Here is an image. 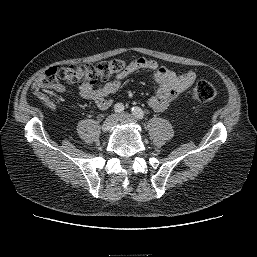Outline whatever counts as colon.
<instances>
[{
    "label": "colon",
    "mask_w": 257,
    "mask_h": 257,
    "mask_svg": "<svg viewBox=\"0 0 257 257\" xmlns=\"http://www.w3.org/2000/svg\"><path fill=\"white\" fill-rule=\"evenodd\" d=\"M129 64L121 59H113L98 64L49 67L38 78L35 84L36 92L41 99L46 100L43 92L55 89L59 81L81 86H93L100 82H106L113 75L123 73ZM190 94L193 100L208 103L215 99L217 92L210 82L199 81L193 86Z\"/></svg>",
    "instance_id": "1"
}]
</instances>
